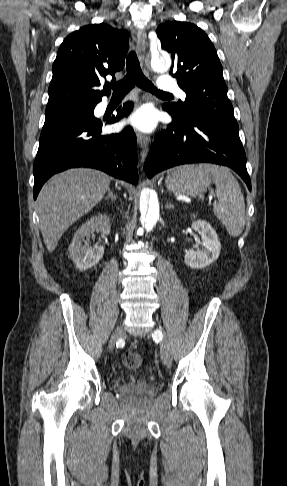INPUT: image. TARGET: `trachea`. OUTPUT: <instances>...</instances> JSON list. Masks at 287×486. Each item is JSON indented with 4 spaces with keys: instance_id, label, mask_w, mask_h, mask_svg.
<instances>
[{
    "instance_id": "obj_1",
    "label": "trachea",
    "mask_w": 287,
    "mask_h": 486,
    "mask_svg": "<svg viewBox=\"0 0 287 486\" xmlns=\"http://www.w3.org/2000/svg\"><path fill=\"white\" fill-rule=\"evenodd\" d=\"M126 65V76L121 81L111 84V88L114 90V95H125L136 85L139 88L158 96H172V94L158 90L154 87L152 82L144 76L135 51L129 53Z\"/></svg>"
}]
</instances>
